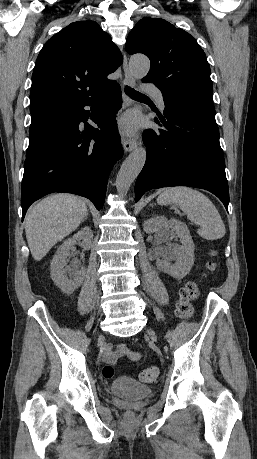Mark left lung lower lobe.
I'll return each instance as SVG.
<instances>
[{
  "instance_id": "obj_1",
  "label": "left lung lower lobe",
  "mask_w": 257,
  "mask_h": 459,
  "mask_svg": "<svg viewBox=\"0 0 257 459\" xmlns=\"http://www.w3.org/2000/svg\"><path fill=\"white\" fill-rule=\"evenodd\" d=\"M160 128L143 133L146 163L135 183V202L148 190L191 186L215 194L228 210L229 189L211 95L163 94Z\"/></svg>"
}]
</instances>
